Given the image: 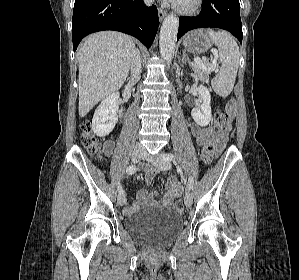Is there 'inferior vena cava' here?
<instances>
[{
  "label": "inferior vena cava",
  "mask_w": 299,
  "mask_h": 280,
  "mask_svg": "<svg viewBox=\"0 0 299 280\" xmlns=\"http://www.w3.org/2000/svg\"><path fill=\"white\" fill-rule=\"evenodd\" d=\"M153 0H145L147 5H151ZM141 57L139 50H135L131 59V79L136 80L141 74Z\"/></svg>",
  "instance_id": "inferior-vena-cava-1"
}]
</instances>
